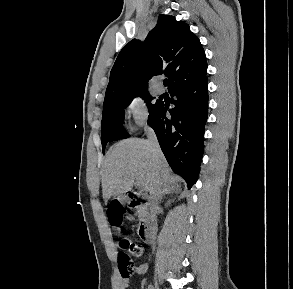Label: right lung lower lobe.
Instances as JSON below:
<instances>
[{"instance_id":"obj_1","label":"right lung lower lobe","mask_w":293,"mask_h":289,"mask_svg":"<svg viewBox=\"0 0 293 289\" xmlns=\"http://www.w3.org/2000/svg\"><path fill=\"white\" fill-rule=\"evenodd\" d=\"M207 76L180 84L169 93L176 97L166 117L167 105L160 102L149 114L160 147L171 168L181 175L188 188L196 182L204 152V126L208 115Z\"/></svg>"}]
</instances>
